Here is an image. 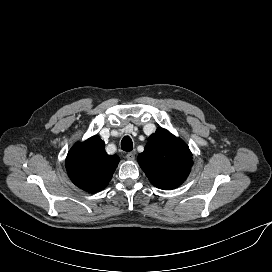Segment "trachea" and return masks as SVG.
I'll return each mask as SVG.
<instances>
[{"instance_id":"3493384b","label":"trachea","mask_w":272,"mask_h":272,"mask_svg":"<svg viewBox=\"0 0 272 272\" xmlns=\"http://www.w3.org/2000/svg\"><path fill=\"white\" fill-rule=\"evenodd\" d=\"M121 149L130 152L133 150V143L129 136H125L121 141Z\"/></svg>"}]
</instances>
